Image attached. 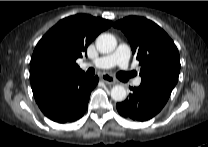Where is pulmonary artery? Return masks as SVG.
<instances>
[{
	"label": "pulmonary artery",
	"instance_id": "pulmonary-artery-1",
	"mask_svg": "<svg viewBox=\"0 0 208 147\" xmlns=\"http://www.w3.org/2000/svg\"><path fill=\"white\" fill-rule=\"evenodd\" d=\"M131 55L130 47L126 44H120L118 48L111 54L96 58L93 61L84 63V66H93L101 69H108L114 66H119L123 70L128 69V63ZM140 78L133 80L134 86H139Z\"/></svg>",
	"mask_w": 208,
	"mask_h": 147
}]
</instances>
